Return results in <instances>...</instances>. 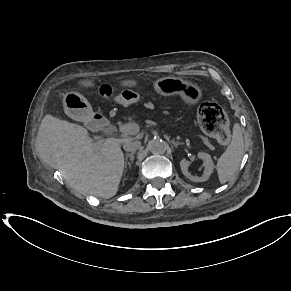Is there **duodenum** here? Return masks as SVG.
<instances>
[{
    "instance_id": "1",
    "label": "duodenum",
    "mask_w": 291,
    "mask_h": 291,
    "mask_svg": "<svg viewBox=\"0 0 291 291\" xmlns=\"http://www.w3.org/2000/svg\"><path fill=\"white\" fill-rule=\"evenodd\" d=\"M90 127L95 131H103L111 128L110 122L100 113H93L89 120Z\"/></svg>"
}]
</instances>
